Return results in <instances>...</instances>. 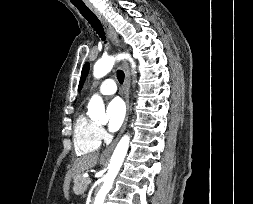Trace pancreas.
Segmentation results:
<instances>
[{
    "mask_svg": "<svg viewBox=\"0 0 253 204\" xmlns=\"http://www.w3.org/2000/svg\"><path fill=\"white\" fill-rule=\"evenodd\" d=\"M87 186V178L83 176L77 177L74 185V193L77 195L83 194L86 191Z\"/></svg>",
    "mask_w": 253,
    "mask_h": 204,
    "instance_id": "cf45deb5",
    "label": "pancreas"
}]
</instances>
